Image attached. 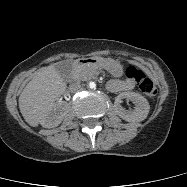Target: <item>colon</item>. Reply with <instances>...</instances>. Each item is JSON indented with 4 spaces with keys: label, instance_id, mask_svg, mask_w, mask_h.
Masks as SVG:
<instances>
[{
    "label": "colon",
    "instance_id": "5ec220e1",
    "mask_svg": "<svg viewBox=\"0 0 187 187\" xmlns=\"http://www.w3.org/2000/svg\"><path fill=\"white\" fill-rule=\"evenodd\" d=\"M126 75L128 78L135 81L142 93L149 97H153L157 93V88L154 82L145 75V73L134 66H129L126 69Z\"/></svg>",
    "mask_w": 187,
    "mask_h": 187
}]
</instances>
